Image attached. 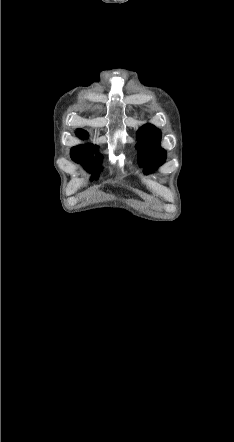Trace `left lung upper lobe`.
I'll list each match as a JSON object with an SVG mask.
<instances>
[{
    "instance_id": "obj_1",
    "label": "left lung upper lobe",
    "mask_w": 234,
    "mask_h": 442,
    "mask_svg": "<svg viewBox=\"0 0 234 442\" xmlns=\"http://www.w3.org/2000/svg\"><path fill=\"white\" fill-rule=\"evenodd\" d=\"M161 132L152 125L143 126L138 132V162L144 167V172L149 174L166 159L165 151L160 147Z\"/></svg>"
}]
</instances>
